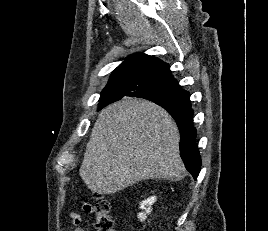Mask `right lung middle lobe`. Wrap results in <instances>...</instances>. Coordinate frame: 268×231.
<instances>
[{
  "instance_id": "obj_1",
  "label": "right lung middle lobe",
  "mask_w": 268,
  "mask_h": 231,
  "mask_svg": "<svg viewBox=\"0 0 268 231\" xmlns=\"http://www.w3.org/2000/svg\"><path fill=\"white\" fill-rule=\"evenodd\" d=\"M130 92L132 97H141L148 100L155 101H167L173 105L188 106L190 105L189 93L179 90L175 87L156 83L146 82L129 89L126 88H105L100 97L99 109L106 105H103V101L108 100L114 96Z\"/></svg>"
}]
</instances>
